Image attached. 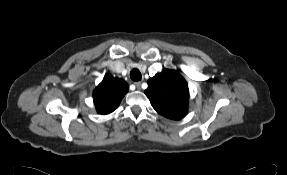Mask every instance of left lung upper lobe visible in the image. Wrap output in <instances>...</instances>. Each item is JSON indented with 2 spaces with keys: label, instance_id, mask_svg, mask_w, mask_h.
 <instances>
[{
  "label": "left lung upper lobe",
  "instance_id": "5c2ea615",
  "mask_svg": "<svg viewBox=\"0 0 287 175\" xmlns=\"http://www.w3.org/2000/svg\"><path fill=\"white\" fill-rule=\"evenodd\" d=\"M147 83L145 94L157 113L173 120H180L187 114L188 84L177 71L165 69Z\"/></svg>",
  "mask_w": 287,
  "mask_h": 175
}]
</instances>
